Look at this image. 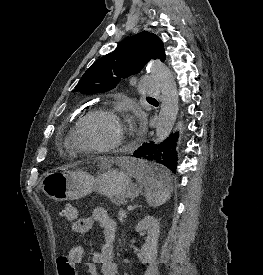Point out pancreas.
I'll list each match as a JSON object with an SVG mask.
<instances>
[{"mask_svg": "<svg viewBox=\"0 0 263 275\" xmlns=\"http://www.w3.org/2000/svg\"><path fill=\"white\" fill-rule=\"evenodd\" d=\"M119 220H120V222H123V220L125 219V218H127V212L126 211H124V210H120L119 211Z\"/></svg>", "mask_w": 263, "mask_h": 275, "instance_id": "cf45deb5", "label": "pancreas"}]
</instances>
